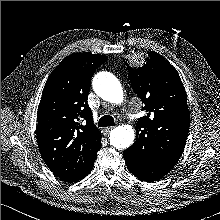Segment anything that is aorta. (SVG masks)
Instances as JSON below:
<instances>
[{
    "mask_svg": "<svg viewBox=\"0 0 220 220\" xmlns=\"http://www.w3.org/2000/svg\"><path fill=\"white\" fill-rule=\"evenodd\" d=\"M95 92L104 100L121 104L124 92L120 81L113 74L103 71L95 75L93 80ZM135 138V132L131 125L125 124L115 127L110 133V142L117 149L129 148Z\"/></svg>",
    "mask_w": 220,
    "mask_h": 220,
    "instance_id": "1",
    "label": "aorta"
}]
</instances>
